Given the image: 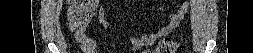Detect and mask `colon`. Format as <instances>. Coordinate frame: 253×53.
I'll list each match as a JSON object with an SVG mask.
<instances>
[{"instance_id": "5ec220e1", "label": "colon", "mask_w": 253, "mask_h": 53, "mask_svg": "<svg viewBox=\"0 0 253 53\" xmlns=\"http://www.w3.org/2000/svg\"><path fill=\"white\" fill-rule=\"evenodd\" d=\"M91 1H74L69 10V18L72 29L86 27L92 18V8L89 5ZM181 46V42L173 41L169 38L161 40L154 51H145L146 53H175Z\"/></svg>"}]
</instances>
